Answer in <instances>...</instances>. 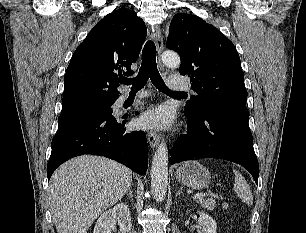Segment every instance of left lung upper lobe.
<instances>
[{
  "label": "left lung upper lobe",
  "mask_w": 306,
  "mask_h": 233,
  "mask_svg": "<svg viewBox=\"0 0 306 233\" xmlns=\"http://www.w3.org/2000/svg\"><path fill=\"white\" fill-rule=\"evenodd\" d=\"M167 47L182 60L179 72L190 76L197 92L186 103L184 114L228 107L247 110V90L240 57L234 44L217 28L200 17L179 13L170 24Z\"/></svg>",
  "instance_id": "1"
}]
</instances>
